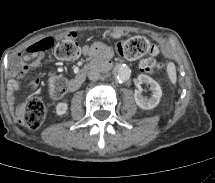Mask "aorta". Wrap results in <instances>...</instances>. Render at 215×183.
Masks as SVG:
<instances>
[{
	"label": "aorta",
	"mask_w": 215,
	"mask_h": 183,
	"mask_svg": "<svg viewBox=\"0 0 215 183\" xmlns=\"http://www.w3.org/2000/svg\"><path fill=\"white\" fill-rule=\"evenodd\" d=\"M113 75L119 81H126L130 78L131 70L126 64H117L113 68Z\"/></svg>",
	"instance_id": "obj_1"
}]
</instances>
